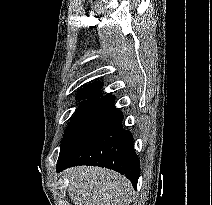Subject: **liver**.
<instances>
[{
  "label": "liver",
  "instance_id": "1",
  "mask_svg": "<svg viewBox=\"0 0 212 205\" xmlns=\"http://www.w3.org/2000/svg\"><path fill=\"white\" fill-rule=\"evenodd\" d=\"M68 192L75 205H129L131 183L112 170L78 166L66 170Z\"/></svg>",
  "mask_w": 212,
  "mask_h": 205
}]
</instances>
